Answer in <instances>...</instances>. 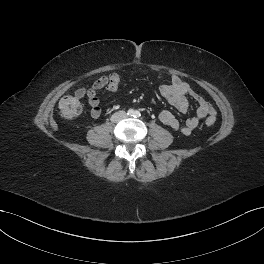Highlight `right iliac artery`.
<instances>
[{
    "instance_id": "right-iliac-artery-1",
    "label": "right iliac artery",
    "mask_w": 264,
    "mask_h": 264,
    "mask_svg": "<svg viewBox=\"0 0 264 264\" xmlns=\"http://www.w3.org/2000/svg\"><path fill=\"white\" fill-rule=\"evenodd\" d=\"M127 115L133 116L134 115V111L132 109H129L128 112H127Z\"/></svg>"
}]
</instances>
